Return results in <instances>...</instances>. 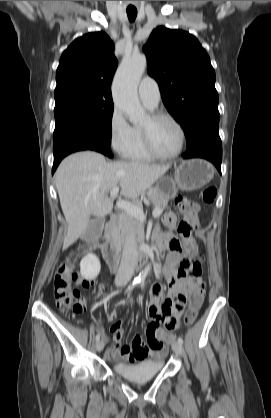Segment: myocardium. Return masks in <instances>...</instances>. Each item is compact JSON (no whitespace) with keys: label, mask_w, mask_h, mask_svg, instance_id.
<instances>
[{"label":"myocardium","mask_w":271,"mask_h":418,"mask_svg":"<svg viewBox=\"0 0 271 418\" xmlns=\"http://www.w3.org/2000/svg\"><path fill=\"white\" fill-rule=\"evenodd\" d=\"M149 119L151 120V122H156V121L161 120V119L169 120L177 127V129L180 133L179 148L174 153L166 155V154H162V153H160L156 150V148H155V146L152 142L151 133H150L149 128L142 127L141 132H142L143 141H144L145 147H146L147 151L149 152V154L151 156H153L154 158L162 159V160H170V159H174V158L178 157L181 154V152L183 151L184 146H185V142H186V133H185V130H184L182 124L171 114L166 113V112H160V111L150 114Z\"/></svg>","instance_id":"1"}]
</instances>
